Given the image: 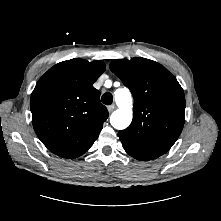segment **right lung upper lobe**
Returning <instances> with one entry per match:
<instances>
[{
  "label": "right lung upper lobe",
  "mask_w": 221,
  "mask_h": 221,
  "mask_svg": "<svg viewBox=\"0 0 221 221\" xmlns=\"http://www.w3.org/2000/svg\"><path fill=\"white\" fill-rule=\"evenodd\" d=\"M105 71L102 61L60 62L37 82L30 99L38 138L52 153L75 159L98 138L108 111L93 83Z\"/></svg>",
  "instance_id": "cb5924a9"
}]
</instances>
